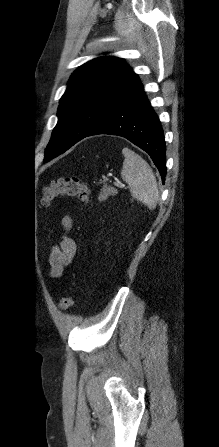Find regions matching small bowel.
<instances>
[{"label": "small bowel", "mask_w": 219, "mask_h": 447, "mask_svg": "<svg viewBox=\"0 0 219 447\" xmlns=\"http://www.w3.org/2000/svg\"><path fill=\"white\" fill-rule=\"evenodd\" d=\"M62 225L66 231L71 230L73 220L69 215L62 219ZM77 251L75 241L67 234L63 235L60 244L53 248L49 262L51 265V276L58 278L62 275L64 268L71 263Z\"/></svg>", "instance_id": "c3829d8e"}]
</instances>
